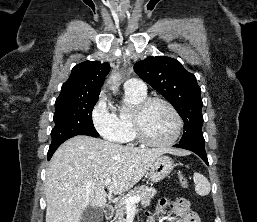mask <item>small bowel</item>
Wrapping results in <instances>:
<instances>
[{
  "label": "small bowel",
  "instance_id": "small-bowel-1",
  "mask_svg": "<svg viewBox=\"0 0 257 222\" xmlns=\"http://www.w3.org/2000/svg\"><path fill=\"white\" fill-rule=\"evenodd\" d=\"M167 206L176 214L175 222H202L199 215L191 210L189 201L184 198H175L171 203L162 199L156 211L147 214L150 222L157 213L162 212Z\"/></svg>",
  "mask_w": 257,
  "mask_h": 222
}]
</instances>
